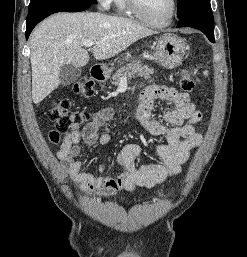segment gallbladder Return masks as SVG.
Returning a JSON list of instances; mask_svg holds the SVG:
<instances>
[{
	"label": "gallbladder",
	"instance_id": "bac80fb5",
	"mask_svg": "<svg viewBox=\"0 0 247 257\" xmlns=\"http://www.w3.org/2000/svg\"><path fill=\"white\" fill-rule=\"evenodd\" d=\"M82 74V69L72 64H64L59 73L60 84L63 86L70 85L77 81Z\"/></svg>",
	"mask_w": 247,
	"mask_h": 257
}]
</instances>
